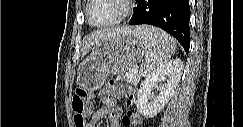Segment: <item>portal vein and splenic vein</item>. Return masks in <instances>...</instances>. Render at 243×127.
<instances>
[{
    "label": "portal vein and splenic vein",
    "mask_w": 243,
    "mask_h": 127,
    "mask_svg": "<svg viewBox=\"0 0 243 127\" xmlns=\"http://www.w3.org/2000/svg\"><path fill=\"white\" fill-rule=\"evenodd\" d=\"M138 71L136 69H133V73L136 74Z\"/></svg>",
    "instance_id": "portal-vein-and-splenic-vein-1"
}]
</instances>
